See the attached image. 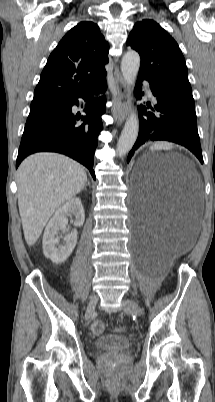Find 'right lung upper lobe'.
<instances>
[{"label": "right lung upper lobe", "mask_w": 215, "mask_h": 402, "mask_svg": "<svg viewBox=\"0 0 215 402\" xmlns=\"http://www.w3.org/2000/svg\"><path fill=\"white\" fill-rule=\"evenodd\" d=\"M109 45L93 22L72 28L50 54L32 102L66 100L106 75Z\"/></svg>", "instance_id": "cb5924a9"}]
</instances>
